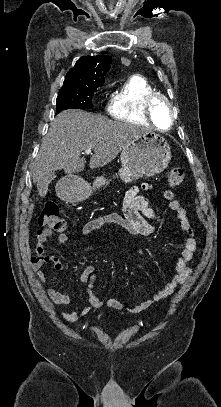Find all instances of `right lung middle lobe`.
Instances as JSON below:
<instances>
[{
  "mask_svg": "<svg viewBox=\"0 0 221 407\" xmlns=\"http://www.w3.org/2000/svg\"><path fill=\"white\" fill-rule=\"evenodd\" d=\"M97 89H61L56 100L57 113L62 110L75 109H91L92 96Z\"/></svg>",
  "mask_w": 221,
  "mask_h": 407,
  "instance_id": "dd1d6c3e",
  "label": "right lung middle lobe"
}]
</instances>
